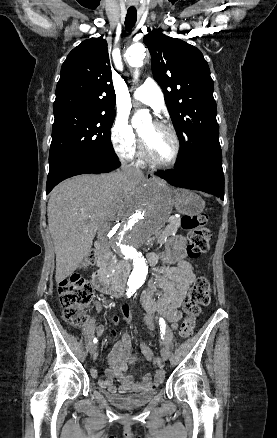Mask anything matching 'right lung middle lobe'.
<instances>
[{"mask_svg":"<svg viewBox=\"0 0 277 438\" xmlns=\"http://www.w3.org/2000/svg\"><path fill=\"white\" fill-rule=\"evenodd\" d=\"M115 115L55 116L49 153V173L64 164L97 157L118 158L110 140Z\"/></svg>","mask_w":277,"mask_h":438,"instance_id":"dd1d6c3e","label":"right lung middle lobe"}]
</instances>
